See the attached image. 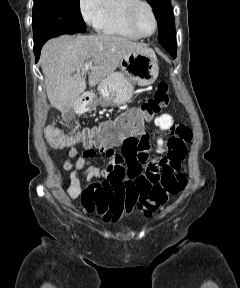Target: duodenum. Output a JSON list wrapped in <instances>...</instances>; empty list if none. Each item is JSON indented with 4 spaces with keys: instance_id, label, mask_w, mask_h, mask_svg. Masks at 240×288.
Returning <instances> with one entry per match:
<instances>
[{
    "instance_id": "410a0bca",
    "label": "duodenum",
    "mask_w": 240,
    "mask_h": 288,
    "mask_svg": "<svg viewBox=\"0 0 240 288\" xmlns=\"http://www.w3.org/2000/svg\"><path fill=\"white\" fill-rule=\"evenodd\" d=\"M91 102V96L90 95H83L81 98H79L77 102V111L79 113H84L88 110L89 104Z\"/></svg>"
}]
</instances>
